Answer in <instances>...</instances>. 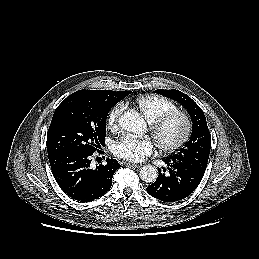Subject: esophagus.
<instances>
[{
  "label": "esophagus",
  "mask_w": 259,
  "mask_h": 259,
  "mask_svg": "<svg viewBox=\"0 0 259 259\" xmlns=\"http://www.w3.org/2000/svg\"><path fill=\"white\" fill-rule=\"evenodd\" d=\"M125 165L131 166L133 168H140L142 165L141 164H136V163H131V162H124Z\"/></svg>",
  "instance_id": "esophagus-1"
}]
</instances>
